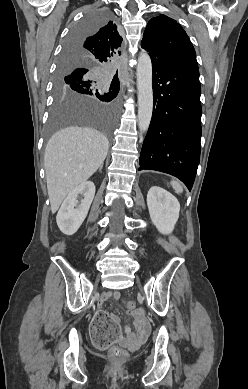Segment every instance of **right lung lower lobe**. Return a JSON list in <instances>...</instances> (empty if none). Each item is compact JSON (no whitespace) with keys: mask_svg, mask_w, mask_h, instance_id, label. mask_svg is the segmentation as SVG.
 <instances>
[{"mask_svg":"<svg viewBox=\"0 0 248 389\" xmlns=\"http://www.w3.org/2000/svg\"><path fill=\"white\" fill-rule=\"evenodd\" d=\"M81 40H82V39H77V40L74 41V43H79ZM64 53H65V52H64ZM65 54H70V53H65ZM86 70H87V69H84V68L76 69V70H74L72 73H70L68 77H69V78H73V77H76V76L79 75V74H84V73H86V72H85ZM116 84H118L119 87H120V83H119V82H117Z\"/></svg>","mask_w":248,"mask_h":389,"instance_id":"obj_1","label":"right lung lower lobe"}]
</instances>
